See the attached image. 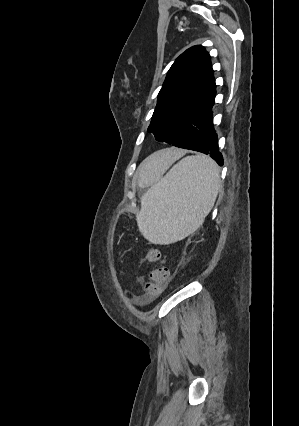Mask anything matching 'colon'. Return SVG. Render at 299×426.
<instances>
[{
    "label": "colon",
    "mask_w": 299,
    "mask_h": 426,
    "mask_svg": "<svg viewBox=\"0 0 299 426\" xmlns=\"http://www.w3.org/2000/svg\"><path fill=\"white\" fill-rule=\"evenodd\" d=\"M145 260L149 263H157L161 260V253L158 249H150L147 251ZM169 269L160 266L151 271L149 279L143 284L142 301L146 304L153 302L164 291L168 279Z\"/></svg>",
    "instance_id": "5ec220e1"
}]
</instances>
